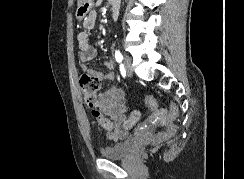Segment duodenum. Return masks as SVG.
Listing matches in <instances>:
<instances>
[{
  "mask_svg": "<svg viewBox=\"0 0 244 179\" xmlns=\"http://www.w3.org/2000/svg\"><path fill=\"white\" fill-rule=\"evenodd\" d=\"M111 10H112L113 15H116L118 13L117 7H113Z\"/></svg>",
  "mask_w": 244,
  "mask_h": 179,
  "instance_id": "1",
  "label": "duodenum"
}]
</instances>
